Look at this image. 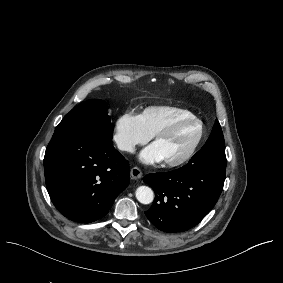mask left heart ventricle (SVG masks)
I'll return each instance as SVG.
<instances>
[{"label":"left heart ventricle","mask_w":283,"mask_h":283,"mask_svg":"<svg viewBox=\"0 0 283 283\" xmlns=\"http://www.w3.org/2000/svg\"><path fill=\"white\" fill-rule=\"evenodd\" d=\"M197 131L198 124L189 121L182 124L170 138L157 141L165 160H177L181 158L192 145Z\"/></svg>","instance_id":"1"}]
</instances>
